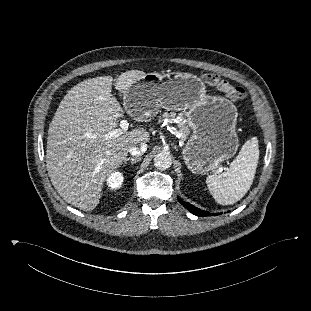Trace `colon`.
<instances>
[{"mask_svg": "<svg viewBox=\"0 0 311 311\" xmlns=\"http://www.w3.org/2000/svg\"><path fill=\"white\" fill-rule=\"evenodd\" d=\"M204 81L208 86L226 93L227 97L233 102H243L247 97L246 91L242 87L233 86L216 74H206Z\"/></svg>", "mask_w": 311, "mask_h": 311, "instance_id": "colon-1", "label": "colon"}]
</instances>
